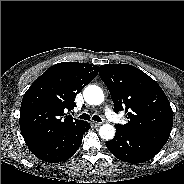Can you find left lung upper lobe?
I'll list each match as a JSON object with an SVG mask.
<instances>
[{"mask_svg": "<svg viewBox=\"0 0 184 184\" xmlns=\"http://www.w3.org/2000/svg\"><path fill=\"white\" fill-rule=\"evenodd\" d=\"M100 77L114 102L116 113L125 110L128 123L116 124L161 150L173 125L170 103L156 81L129 64L100 66Z\"/></svg>", "mask_w": 184, "mask_h": 184, "instance_id": "1", "label": "left lung upper lobe"}]
</instances>
